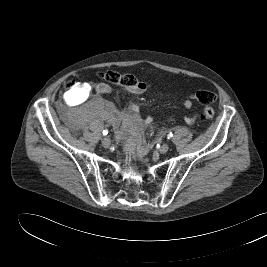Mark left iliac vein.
<instances>
[{"mask_svg":"<svg viewBox=\"0 0 267 267\" xmlns=\"http://www.w3.org/2000/svg\"><path fill=\"white\" fill-rule=\"evenodd\" d=\"M169 150V145L167 143H164L160 146L159 152L161 154H165Z\"/></svg>","mask_w":267,"mask_h":267,"instance_id":"left-iliac-vein-1","label":"left iliac vein"}]
</instances>
